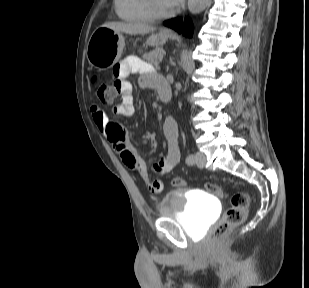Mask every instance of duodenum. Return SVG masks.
Returning a JSON list of instances; mask_svg holds the SVG:
<instances>
[{"instance_id":"duodenum-1","label":"duodenum","mask_w":309,"mask_h":288,"mask_svg":"<svg viewBox=\"0 0 309 288\" xmlns=\"http://www.w3.org/2000/svg\"><path fill=\"white\" fill-rule=\"evenodd\" d=\"M159 97L163 102H169L172 97V92L168 83L163 80L159 85Z\"/></svg>"}]
</instances>
